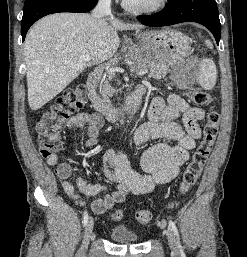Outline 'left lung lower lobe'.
I'll return each instance as SVG.
<instances>
[{"label": "left lung lower lobe", "mask_w": 247, "mask_h": 257, "mask_svg": "<svg viewBox=\"0 0 247 257\" xmlns=\"http://www.w3.org/2000/svg\"><path fill=\"white\" fill-rule=\"evenodd\" d=\"M147 26H168L181 22H197L208 28L217 44L221 38V24L215 0H168V5L155 14L137 16Z\"/></svg>", "instance_id": "1"}]
</instances>
